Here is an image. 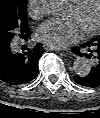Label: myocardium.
I'll list each match as a JSON object with an SVG mask.
<instances>
[{"instance_id": "obj_1", "label": "myocardium", "mask_w": 100, "mask_h": 118, "mask_svg": "<svg viewBox=\"0 0 100 118\" xmlns=\"http://www.w3.org/2000/svg\"><path fill=\"white\" fill-rule=\"evenodd\" d=\"M86 1L87 0H75L72 2V6L76 10H80L84 6ZM98 11H99V14H98V20L96 24L92 26L91 28L84 30V33L88 36L96 34L100 29V0H98Z\"/></svg>"}]
</instances>
